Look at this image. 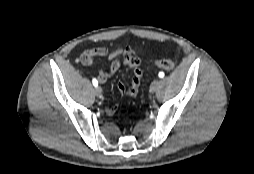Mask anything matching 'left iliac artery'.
Wrapping results in <instances>:
<instances>
[{"mask_svg":"<svg viewBox=\"0 0 254 174\" xmlns=\"http://www.w3.org/2000/svg\"><path fill=\"white\" fill-rule=\"evenodd\" d=\"M164 72H159V74H158V76L160 77V78H163L164 77Z\"/></svg>","mask_w":254,"mask_h":174,"instance_id":"left-iliac-artery-1","label":"left iliac artery"}]
</instances>
